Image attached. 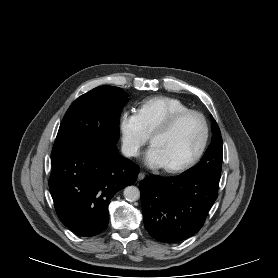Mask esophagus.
Returning a JSON list of instances; mask_svg holds the SVG:
<instances>
[{
	"mask_svg": "<svg viewBox=\"0 0 278 278\" xmlns=\"http://www.w3.org/2000/svg\"><path fill=\"white\" fill-rule=\"evenodd\" d=\"M145 173L144 172H139V174H138V180L139 181H141V180H143L144 178H145Z\"/></svg>",
	"mask_w": 278,
	"mask_h": 278,
	"instance_id": "obj_1",
	"label": "esophagus"
}]
</instances>
